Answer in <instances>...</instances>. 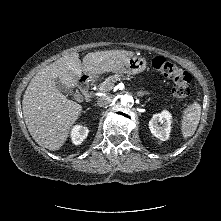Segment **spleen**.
I'll list each match as a JSON object with an SVG mask.
<instances>
[{"instance_id": "3e777b00", "label": "spleen", "mask_w": 221, "mask_h": 221, "mask_svg": "<svg viewBox=\"0 0 221 221\" xmlns=\"http://www.w3.org/2000/svg\"><path fill=\"white\" fill-rule=\"evenodd\" d=\"M181 132L184 140L191 137L198 126L201 116V105L194 102L188 105L182 112Z\"/></svg>"}]
</instances>
